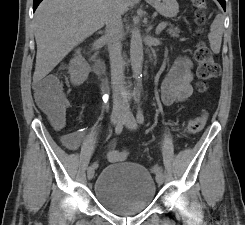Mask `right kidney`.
<instances>
[{
    "instance_id": "1",
    "label": "right kidney",
    "mask_w": 245,
    "mask_h": 225,
    "mask_svg": "<svg viewBox=\"0 0 245 225\" xmlns=\"http://www.w3.org/2000/svg\"><path fill=\"white\" fill-rule=\"evenodd\" d=\"M68 73L70 74L71 83L79 86L84 83L90 73V66L82 57L80 50H76L75 56L70 60Z\"/></svg>"
}]
</instances>
